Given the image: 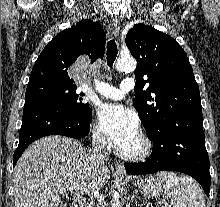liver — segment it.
<instances>
[{"label": "liver", "instance_id": "1", "mask_svg": "<svg viewBox=\"0 0 220 207\" xmlns=\"http://www.w3.org/2000/svg\"><path fill=\"white\" fill-rule=\"evenodd\" d=\"M107 166L93 167L90 153L76 140L47 136L31 144L14 170L15 207H64L56 192L64 187L76 198L105 186Z\"/></svg>", "mask_w": 220, "mask_h": 207}]
</instances>
